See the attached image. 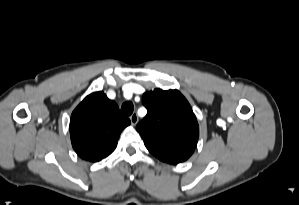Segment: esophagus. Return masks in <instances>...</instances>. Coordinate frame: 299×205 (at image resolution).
<instances>
[{
    "label": "esophagus",
    "mask_w": 299,
    "mask_h": 205,
    "mask_svg": "<svg viewBox=\"0 0 299 205\" xmlns=\"http://www.w3.org/2000/svg\"><path fill=\"white\" fill-rule=\"evenodd\" d=\"M130 121H131L132 125H136L138 123V116L136 113H134L130 116Z\"/></svg>",
    "instance_id": "34e87169"
}]
</instances>
